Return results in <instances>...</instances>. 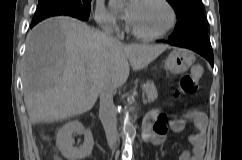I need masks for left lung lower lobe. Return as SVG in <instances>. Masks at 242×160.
Returning a JSON list of instances; mask_svg holds the SVG:
<instances>
[{
    "mask_svg": "<svg viewBox=\"0 0 242 160\" xmlns=\"http://www.w3.org/2000/svg\"><path fill=\"white\" fill-rule=\"evenodd\" d=\"M167 43L173 46L188 48L199 53L200 55L205 57L213 67L214 56L211 43L207 34L191 35L181 39H173L170 37V40L167 41Z\"/></svg>",
    "mask_w": 242,
    "mask_h": 160,
    "instance_id": "left-lung-lower-lobe-1",
    "label": "left lung lower lobe"
}]
</instances>
